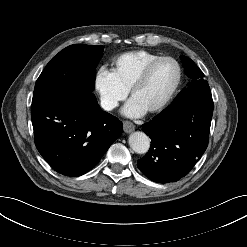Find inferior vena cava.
Returning a JSON list of instances; mask_svg holds the SVG:
<instances>
[{"instance_id": "1", "label": "inferior vena cava", "mask_w": 247, "mask_h": 247, "mask_svg": "<svg viewBox=\"0 0 247 247\" xmlns=\"http://www.w3.org/2000/svg\"><path fill=\"white\" fill-rule=\"evenodd\" d=\"M117 103L114 101H107V100H102L101 101V107L104 110L110 111L116 107Z\"/></svg>"}]
</instances>
